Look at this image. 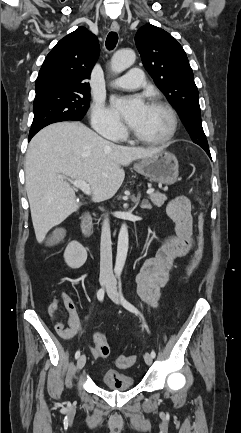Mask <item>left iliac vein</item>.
Here are the masks:
<instances>
[{"label": "left iliac vein", "mask_w": 241, "mask_h": 433, "mask_svg": "<svg viewBox=\"0 0 241 433\" xmlns=\"http://www.w3.org/2000/svg\"><path fill=\"white\" fill-rule=\"evenodd\" d=\"M107 295L109 296V298L114 303H116V304L120 303V298H119V295H118V292H117V289H116V284H115V281H113V280L110 281L109 284L107 285ZM144 360H145V363L147 365H151L152 362H153V358H152V356L148 352H146L144 354Z\"/></svg>", "instance_id": "obj_1"}]
</instances>
